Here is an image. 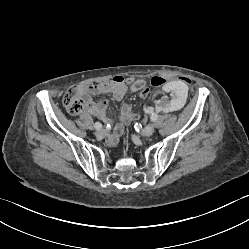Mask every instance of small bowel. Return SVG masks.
Listing matches in <instances>:
<instances>
[{
  "label": "small bowel",
  "instance_id": "small-bowel-1",
  "mask_svg": "<svg viewBox=\"0 0 249 249\" xmlns=\"http://www.w3.org/2000/svg\"><path fill=\"white\" fill-rule=\"evenodd\" d=\"M187 84L186 78H180ZM167 82V81H166ZM147 81L145 79L134 80L133 78H125L122 75H116L112 79L96 84L80 86L78 89L84 94L87 104L85 110L101 119L106 124H111V120L107 115L108 101L102 99L98 102H93L92 95L112 94L113 99L120 101L125 94L130 92H143L146 88ZM151 112V108H147ZM138 118V115L132 110L128 104L122 105L120 109V119L115 125L113 132L108 136L107 142L112 145L118 141V138L124 131L126 124Z\"/></svg>",
  "mask_w": 249,
  "mask_h": 249
}]
</instances>
